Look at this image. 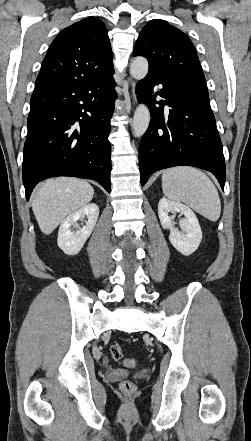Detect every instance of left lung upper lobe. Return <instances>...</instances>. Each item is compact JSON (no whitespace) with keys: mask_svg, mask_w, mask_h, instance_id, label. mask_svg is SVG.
I'll use <instances>...</instances> for the list:
<instances>
[{"mask_svg":"<svg viewBox=\"0 0 251 441\" xmlns=\"http://www.w3.org/2000/svg\"><path fill=\"white\" fill-rule=\"evenodd\" d=\"M133 55L147 58L149 73L183 77L206 85L190 38L163 20L154 19L144 26Z\"/></svg>","mask_w":251,"mask_h":441,"instance_id":"5c2ea615","label":"left lung upper lobe"}]
</instances>
